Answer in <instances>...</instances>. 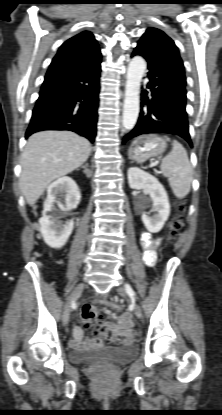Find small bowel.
Returning a JSON list of instances; mask_svg holds the SVG:
<instances>
[{"mask_svg":"<svg viewBox=\"0 0 222 415\" xmlns=\"http://www.w3.org/2000/svg\"><path fill=\"white\" fill-rule=\"evenodd\" d=\"M159 238L153 237L150 233H144L141 237V245L144 250V259L146 264L153 265L156 261V249L159 245ZM129 318L128 316H122L118 318L117 323L124 324L128 323ZM92 343L98 344L101 343V339L98 338L96 340L91 341ZM86 343L83 340V333L80 327H76L74 330V340L72 345L80 346Z\"/></svg>","mask_w":222,"mask_h":415,"instance_id":"small-bowel-1","label":"small bowel"}]
</instances>
